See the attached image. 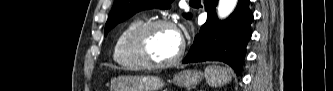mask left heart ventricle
<instances>
[{
    "label": "left heart ventricle",
    "mask_w": 333,
    "mask_h": 91,
    "mask_svg": "<svg viewBox=\"0 0 333 91\" xmlns=\"http://www.w3.org/2000/svg\"><path fill=\"white\" fill-rule=\"evenodd\" d=\"M181 40L176 30L168 27L155 29L146 40L149 58L155 62L172 59L179 51Z\"/></svg>",
    "instance_id": "b2bd125f"
}]
</instances>
